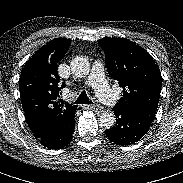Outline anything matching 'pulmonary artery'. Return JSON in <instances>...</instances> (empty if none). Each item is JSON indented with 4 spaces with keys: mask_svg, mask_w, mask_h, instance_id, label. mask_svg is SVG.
<instances>
[{
    "mask_svg": "<svg viewBox=\"0 0 183 183\" xmlns=\"http://www.w3.org/2000/svg\"><path fill=\"white\" fill-rule=\"evenodd\" d=\"M85 83L95 90L97 96L103 103L109 106H113L115 104L116 96L113 94L105 80L104 67L102 63H94L91 73Z\"/></svg>",
    "mask_w": 183,
    "mask_h": 183,
    "instance_id": "pulmonary-artery-1",
    "label": "pulmonary artery"
}]
</instances>
